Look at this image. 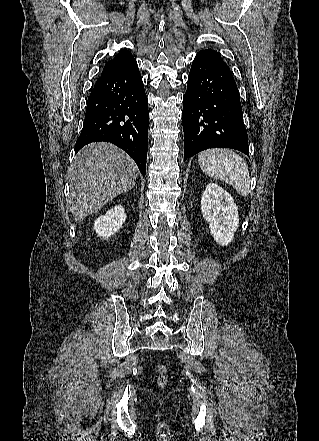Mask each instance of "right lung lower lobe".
<instances>
[{
    "label": "right lung lower lobe",
    "instance_id": "98d812e1",
    "mask_svg": "<svg viewBox=\"0 0 319 441\" xmlns=\"http://www.w3.org/2000/svg\"><path fill=\"white\" fill-rule=\"evenodd\" d=\"M148 126V99L134 60L97 80L75 153L91 142H110L128 153L145 176Z\"/></svg>",
    "mask_w": 319,
    "mask_h": 441
}]
</instances>
